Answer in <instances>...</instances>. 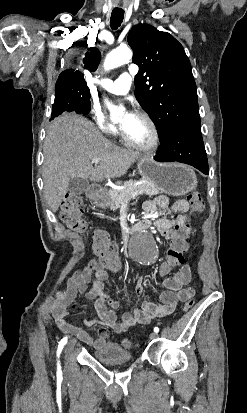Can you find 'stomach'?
Instances as JSON below:
<instances>
[{
  "label": "stomach",
  "instance_id": "1",
  "mask_svg": "<svg viewBox=\"0 0 247 413\" xmlns=\"http://www.w3.org/2000/svg\"><path fill=\"white\" fill-rule=\"evenodd\" d=\"M137 168L144 180H149L156 188L171 194L182 196L197 186V176L187 164L180 162H157L154 156H141L137 162ZM94 202L97 207H109L111 198L108 192H95Z\"/></svg>",
  "mask_w": 247,
  "mask_h": 413
}]
</instances>
